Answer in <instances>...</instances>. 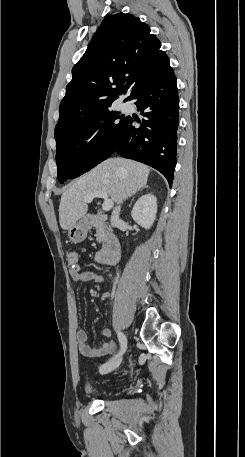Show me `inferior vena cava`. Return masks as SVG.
<instances>
[{"label":"inferior vena cava","mask_w":245,"mask_h":457,"mask_svg":"<svg viewBox=\"0 0 245 457\" xmlns=\"http://www.w3.org/2000/svg\"><path fill=\"white\" fill-rule=\"evenodd\" d=\"M119 212L120 206H115L110 218L112 226H117L119 222H122L121 218H119Z\"/></svg>","instance_id":"obj_1"}]
</instances>
